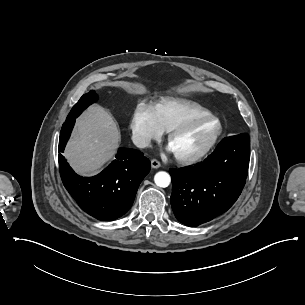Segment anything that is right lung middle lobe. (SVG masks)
<instances>
[{"mask_svg": "<svg viewBox=\"0 0 305 305\" xmlns=\"http://www.w3.org/2000/svg\"><path fill=\"white\" fill-rule=\"evenodd\" d=\"M97 95L94 91H90L87 94H84L80 100L72 108L70 115H75L76 117L81 114V112L87 108L90 104L95 102Z\"/></svg>", "mask_w": 305, "mask_h": 305, "instance_id": "obj_1", "label": "right lung middle lobe"}]
</instances>
